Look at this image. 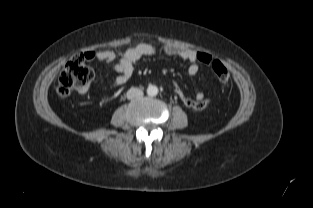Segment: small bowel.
Instances as JSON below:
<instances>
[{
	"mask_svg": "<svg viewBox=\"0 0 313 208\" xmlns=\"http://www.w3.org/2000/svg\"><path fill=\"white\" fill-rule=\"evenodd\" d=\"M157 52L158 49L155 46L148 43H140L119 53L111 50H101L98 52H88L86 55L89 56V59H97L111 66L118 73L113 86H120L130 79L134 70V64L137 61L143 57L155 55ZM162 52L167 56H176L188 61L190 63L188 67V74L190 76H195L199 72L200 62L197 58L196 51L184 47L165 45L162 48ZM81 91L86 92L87 88ZM195 99L197 101L205 100L204 94L201 92L198 93Z\"/></svg>",
	"mask_w": 313,
	"mask_h": 208,
	"instance_id": "c3829d8e",
	"label": "small bowel"
}]
</instances>
